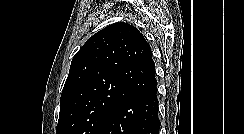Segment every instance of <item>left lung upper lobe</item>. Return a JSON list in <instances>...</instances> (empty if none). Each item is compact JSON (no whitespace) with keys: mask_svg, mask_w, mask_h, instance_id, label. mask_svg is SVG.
Instances as JSON below:
<instances>
[{"mask_svg":"<svg viewBox=\"0 0 244 134\" xmlns=\"http://www.w3.org/2000/svg\"><path fill=\"white\" fill-rule=\"evenodd\" d=\"M150 45L132 25L115 23L90 37L72 59L56 134H99L113 111L156 88Z\"/></svg>","mask_w":244,"mask_h":134,"instance_id":"5c2ea615","label":"left lung upper lobe"}]
</instances>
